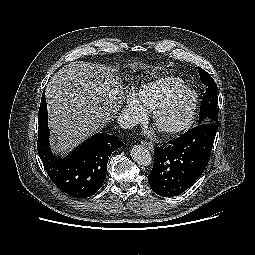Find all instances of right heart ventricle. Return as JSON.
Wrapping results in <instances>:
<instances>
[{"label":"right heart ventricle","mask_w":255,"mask_h":255,"mask_svg":"<svg viewBox=\"0 0 255 255\" xmlns=\"http://www.w3.org/2000/svg\"><path fill=\"white\" fill-rule=\"evenodd\" d=\"M185 87L183 80L175 77H159L142 84L134 94L145 111H151L161 101Z\"/></svg>","instance_id":"obj_1"}]
</instances>
